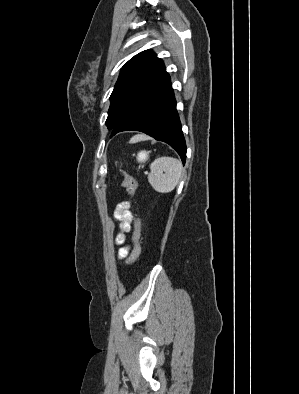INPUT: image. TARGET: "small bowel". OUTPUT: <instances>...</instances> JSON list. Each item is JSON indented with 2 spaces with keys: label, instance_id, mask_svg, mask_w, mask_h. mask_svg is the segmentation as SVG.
I'll list each match as a JSON object with an SVG mask.
<instances>
[{
  "label": "small bowel",
  "instance_id": "small-bowel-1",
  "mask_svg": "<svg viewBox=\"0 0 299 394\" xmlns=\"http://www.w3.org/2000/svg\"><path fill=\"white\" fill-rule=\"evenodd\" d=\"M131 204L127 201L119 203L114 211V217L119 222L120 232L115 238L116 245H123L126 235L132 230L134 215L131 212ZM129 247H122L118 251V259H124L128 256Z\"/></svg>",
  "mask_w": 299,
  "mask_h": 394
}]
</instances>
